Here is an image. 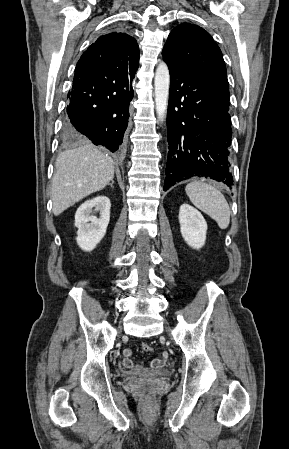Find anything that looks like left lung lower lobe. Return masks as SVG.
Returning <instances> with one entry per match:
<instances>
[{
    "label": "left lung lower lobe",
    "mask_w": 289,
    "mask_h": 449,
    "mask_svg": "<svg viewBox=\"0 0 289 449\" xmlns=\"http://www.w3.org/2000/svg\"><path fill=\"white\" fill-rule=\"evenodd\" d=\"M164 61L170 71L164 191L190 177L231 187L229 99L196 71Z\"/></svg>",
    "instance_id": "0a47b994"
}]
</instances>
